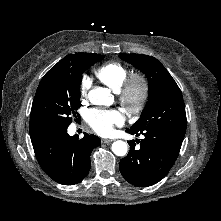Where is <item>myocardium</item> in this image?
<instances>
[{
	"label": "myocardium",
	"mask_w": 221,
	"mask_h": 221,
	"mask_svg": "<svg viewBox=\"0 0 221 221\" xmlns=\"http://www.w3.org/2000/svg\"><path fill=\"white\" fill-rule=\"evenodd\" d=\"M117 94L129 114H138L144 109L149 98V80L142 73L130 74Z\"/></svg>",
	"instance_id": "f54148a6"
}]
</instances>
